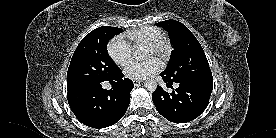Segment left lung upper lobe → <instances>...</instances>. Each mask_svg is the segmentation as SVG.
<instances>
[{"label": "left lung upper lobe", "instance_id": "1", "mask_svg": "<svg viewBox=\"0 0 276 138\" xmlns=\"http://www.w3.org/2000/svg\"><path fill=\"white\" fill-rule=\"evenodd\" d=\"M157 25L168 32L174 47L170 63L162 73L173 82L212 80L205 53L192 32L176 20Z\"/></svg>", "mask_w": 276, "mask_h": 138}]
</instances>
